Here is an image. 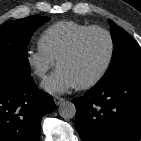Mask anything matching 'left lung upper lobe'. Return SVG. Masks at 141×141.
Here are the masks:
<instances>
[{
  "label": "left lung upper lobe",
  "instance_id": "left-lung-upper-lobe-1",
  "mask_svg": "<svg viewBox=\"0 0 141 141\" xmlns=\"http://www.w3.org/2000/svg\"><path fill=\"white\" fill-rule=\"evenodd\" d=\"M109 23L114 44L113 56L106 74L97 84L141 74V47L124 29L111 20Z\"/></svg>",
  "mask_w": 141,
  "mask_h": 141
}]
</instances>
